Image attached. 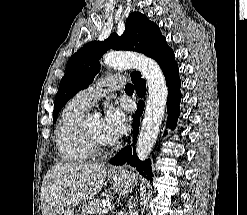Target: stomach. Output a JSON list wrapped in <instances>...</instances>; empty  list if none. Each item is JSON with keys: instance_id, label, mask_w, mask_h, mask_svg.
<instances>
[{"instance_id": "stomach-1", "label": "stomach", "mask_w": 247, "mask_h": 215, "mask_svg": "<svg viewBox=\"0 0 247 215\" xmlns=\"http://www.w3.org/2000/svg\"><path fill=\"white\" fill-rule=\"evenodd\" d=\"M111 180L114 182L115 189L120 194H125L129 192L132 185L135 182V176L129 172H123L120 175L111 176ZM59 215H74V211L71 206L65 207Z\"/></svg>"}]
</instances>
